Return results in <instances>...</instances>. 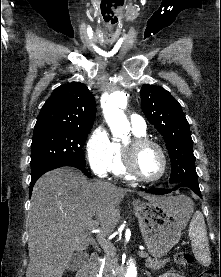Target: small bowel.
Returning a JSON list of instances; mask_svg holds the SVG:
<instances>
[{"label": "small bowel", "instance_id": "c3829d8e", "mask_svg": "<svg viewBox=\"0 0 221 277\" xmlns=\"http://www.w3.org/2000/svg\"><path fill=\"white\" fill-rule=\"evenodd\" d=\"M159 277H186V276H183V275L177 274V273H164V274L160 275Z\"/></svg>", "mask_w": 221, "mask_h": 277}]
</instances>
